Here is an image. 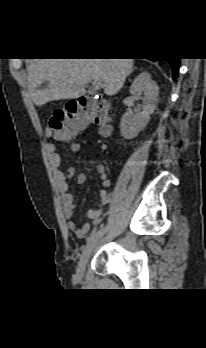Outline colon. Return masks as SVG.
Segmentation results:
<instances>
[{
    "label": "colon",
    "mask_w": 206,
    "mask_h": 348,
    "mask_svg": "<svg viewBox=\"0 0 206 348\" xmlns=\"http://www.w3.org/2000/svg\"><path fill=\"white\" fill-rule=\"evenodd\" d=\"M109 121L105 104L81 97L53 112L49 119L50 137L57 142H69L89 124L99 125L107 133Z\"/></svg>",
    "instance_id": "obj_1"
}]
</instances>
